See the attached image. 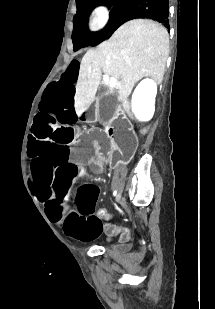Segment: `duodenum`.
<instances>
[{
    "label": "duodenum",
    "instance_id": "duodenum-1",
    "mask_svg": "<svg viewBox=\"0 0 215 309\" xmlns=\"http://www.w3.org/2000/svg\"><path fill=\"white\" fill-rule=\"evenodd\" d=\"M109 133L111 134V129H109Z\"/></svg>",
    "mask_w": 215,
    "mask_h": 309
}]
</instances>
